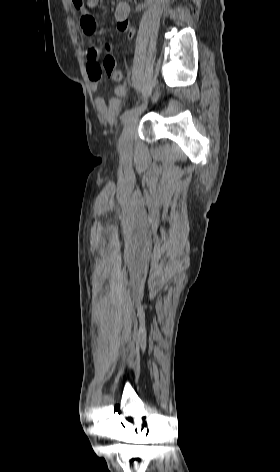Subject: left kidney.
Segmentation results:
<instances>
[{
  "mask_svg": "<svg viewBox=\"0 0 280 472\" xmlns=\"http://www.w3.org/2000/svg\"><path fill=\"white\" fill-rule=\"evenodd\" d=\"M147 1V4L150 3L151 0H146ZM138 9H141V7H139Z\"/></svg>",
  "mask_w": 280,
  "mask_h": 472,
  "instance_id": "1",
  "label": "left kidney"
}]
</instances>
